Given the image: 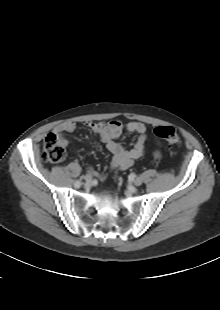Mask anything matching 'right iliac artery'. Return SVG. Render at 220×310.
<instances>
[{"instance_id": "82829eb1", "label": "right iliac artery", "mask_w": 220, "mask_h": 310, "mask_svg": "<svg viewBox=\"0 0 220 310\" xmlns=\"http://www.w3.org/2000/svg\"><path fill=\"white\" fill-rule=\"evenodd\" d=\"M74 185L76 188H79L81 186V180H76Z\"/></svg>"}]
</instances>
